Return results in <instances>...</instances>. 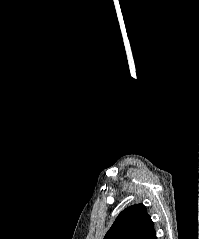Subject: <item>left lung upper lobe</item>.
Segmentation results:
<instances>
[{
  "label": "left lung upper lobe",
  "mask_w": 199,
  "mask_h": 239,
  "mask_svg": "<svg viewBox=\"0 0 199 239\" xmlns=\"http://www.w3.org/2000/svg\"><path fill=\"white\" fill-rule=\"evenodd\" d=\"M104 239H156L153 221L143 204L122 211Z\"/></svg>",
  "instance_id": "left-lung-upper-lobe-1"
}]
</instances>
